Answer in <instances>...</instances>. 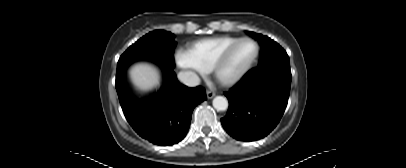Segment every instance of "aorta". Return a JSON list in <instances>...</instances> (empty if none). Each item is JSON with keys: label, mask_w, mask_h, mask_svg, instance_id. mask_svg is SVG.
I'll return each instance as SVG.
<instances>
[{"label": "aorta", "mask_w": 406, "mask_h": 168, "mask_svg": "<svg viewBox=\"0 0 406 168\" xmlns=\"http://www.w3.org/2000/svg\"><path fill=\"white\" fill-rule=\"evenodd\" d=\"M212 104L217 111H225L228 108V101L223 96H216L213 99Z\"/></svg>", "instance_id": "aorta-1"}]
</instances>
